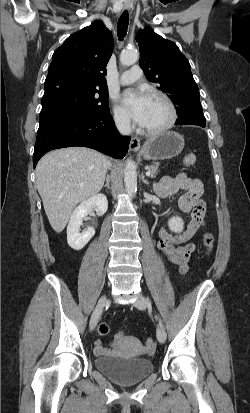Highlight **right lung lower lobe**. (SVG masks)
<instances>
[{
    "mask_svg": "<svg viewBox=\"0 0 250 413\" xmlns=\"http://www.w3.org/2000/svg\"><path fill=\"white\" fill-rule=\"evenodd\" d=\"M130 137L119 136L110 112L59 111L40 120L33 154V166L48 151L84 146L115 158L128 151Z\"/></svg>",
    "mask_w": 250,
    "mask_h": 413,
    "instance_id": "98d812e1",
    "label": "right lung lower lobe"
}]
</instances>
